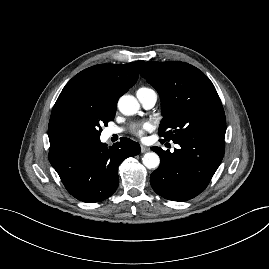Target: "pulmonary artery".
Here are the masks:
<instances>
[{"label": "pulmonary artery", "mask_w": 269, "mask_h": 269, "mask_svg": "<svg viewBox=\"0 0 269 269\" xmlns=\"http://www.w3.org/2000/svg\"><path fill=\"white\" fill-rule=\"evenodd\" d=\"M137 97L144 108L150 109L154 107L157 102V94L153 91H146V92H138ZM121 131L119 128H110L107 130V135L111 136L113 134H117Z\"/></svg>", "instance_id": "pulmonary-artery-1"}]
</instances>
